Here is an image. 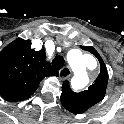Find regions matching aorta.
I'll use <instances>...</instances> for the list:
<instances>
[{"mask_svg": "<svg viewBox=\"0 0 124 124\" xmlns=\"http://www.w3.org/2000/svg\"><path fill=\"white\" fill-rule=\"evenodd\" d=\"M67 61L74 71L72 85L75 89H83L89 83V77L85 67V57L82 53L73 49L67 53Z\"/></svg>", "mask_w": 124, "mask_h": 124, "instance_id": "aorta-1", "label": "aorta"}]
</instances>
